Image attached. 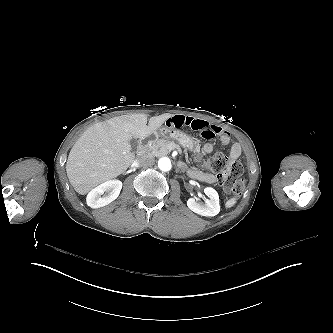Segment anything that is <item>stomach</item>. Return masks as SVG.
<instances>
[{
  "label": "stomach",
  "mask_w": 333,
  "mask_h": 333,
  "mask_svg": "<svg viewBox=\"0 0 333 333\" xmlns=\"http://www.w3.org/2000/svg\"><path fill=\"white\" fill-rule=\"evenodd\" d=\"M155 138L163 137V138H171L175 141H179L182 146L191 149L192 151H196L197 147L200 144V141L196 137H192L190 134H185L182 131H178L174 128H170L167 126H163L159 128L154 134ZM152 138H148L151 140Z\"/></svg>",
  "instance_id": "1"
}]
</instances>
